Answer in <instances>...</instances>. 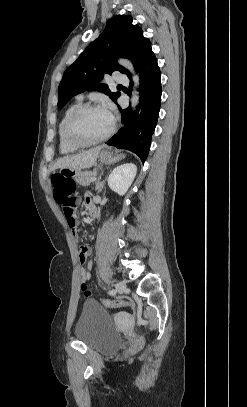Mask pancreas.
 Here are the masks:
<instances>
[{"label": "pancreas", "instance_id": "pancreas-1", "mask_svg": "<svg viewBox=\"0 0 247 407\" xmlns=\"http://www.w3.org/2000/svg\"><path fill=\"white\" fill-rule=\"evenodd\" d=\"M96 173V171L83 172L76 178V182L82 186H87L91 183L90 179L94 177Z\"/></svg>", "mask_w": 247, "mask_h": 407}]
</instances>
